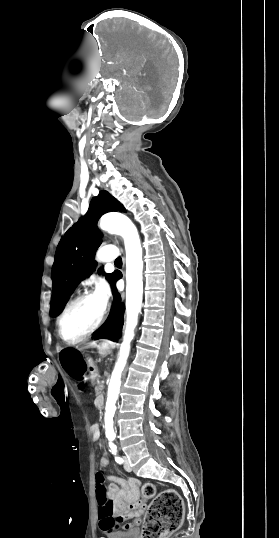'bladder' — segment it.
Instances as JSON below:
<instances>
[{
	"label": "bladder",
	"mask_w": 279,
	"mask_h": 538,
	"mask_svg": "<svg viewBox=\"0 0 279 538\" xmlns=\"http://www.w3.org/2000/svg\"><path fill=\"white\" fill-rule=\"evenodd\" d=\"M108 538H139L138 532H109Z\"/></svg>",
	"instance_id": "obj_1"
}]
</instances>
